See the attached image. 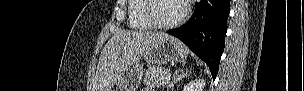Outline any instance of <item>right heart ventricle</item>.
Masks as SVG:
<instances>
[{"label":"right heart ventricle","mask_w":304,"mask_h":91,"mask_svg":"<svg viewBox=\"0 0 304 91\" xmlns=\"http://www.w3.org/2000/svg\"><path fill=\"white\" fill-rule=\"evenodd\" d=\"M145 0H129L128 3V24L135 30H149L152 25L146 20L143 9Z\"/></svg>","instance_id":"1"}]
</instances>
